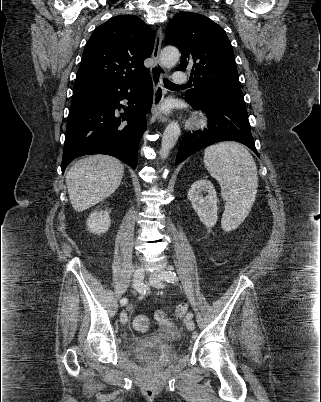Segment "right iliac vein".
<instances>
[{
    "mask_svg": "<svg viewBox=\"0 0 321 402\" xmlns=\"http://www.w3.org/2000/svg\"><path fill=\"white\" fill-rule=\"evenodd\" d=\"M143 278H144V270L142 268L137 269L133 274V281L135 282V284H140ZM120 320L123 324H126L127 313L125 311H122L120 315Z\"/></svg>",
    "mask_w": 321,
    "mask_h": 402,
    "instance_id": "obj_1",
    "label": "right iliac vein"
}]
</instances>
